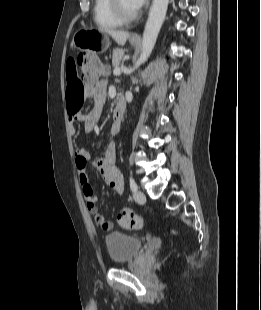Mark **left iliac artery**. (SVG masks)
Wrapping results in <instances>:
<instances>
[{"label": "left iliac artery", "mask_w": 261, "mask_h": 310, "mask_svg": "<svg viewBox=\"0 0 261 310\" xmlns=\"http://www.w3.org/2000/svg\"><path fill=\"white\" fill-rule=\"evenodd\" d=\"M130 188L133 192L137 191L138 186L132 177L129 178Z\"/></svg>", "instance_id": "left-iliac-artery-1"}]
</instances>
